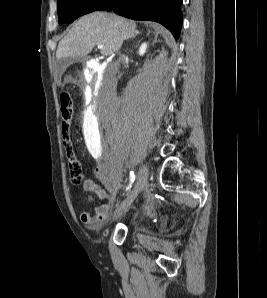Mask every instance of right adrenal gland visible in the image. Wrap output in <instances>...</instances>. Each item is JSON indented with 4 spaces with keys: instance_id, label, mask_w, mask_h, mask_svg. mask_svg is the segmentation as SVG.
Wrapping results in <instances>:
<instances>
[{
    "instance_id": "obj_1",
    "label": "right adrenal gland",
    "mask_w": 267,
    "mask_h": 298,
    "mask_svg": "<svg viewBox=\"0 0 267 298\" xmlns=\"http://www.w3.org/2000/svg\"><path fill=\"white\" fill-rule=\"evenodd\" d=\"M140 33H141L140 31L136 30V31H135V34L131 37V39L134 38V37H136V36L139 35Z\"/></svg>"
}]
</instances>
